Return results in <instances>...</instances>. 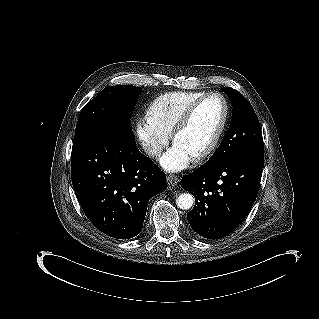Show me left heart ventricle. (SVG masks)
Masks as SVG:
<instances>
[{
	"label": "left heart ventricle",
	"mask_w": 319,
	"mask_h": 319,
	"mask_svg": "<svg viewBox=\"0 0 319 319\" xmlns=\"http://www.w3.org/2000/svg\"><path fill=\"white\" fill-rule=\"evenodd\" d=\"M223 113V104L211 98L198 105L177 136V144L191 153L203 149L216 132Z\"/></svg>",
	"instance_id": "1"
}]
</instances>
